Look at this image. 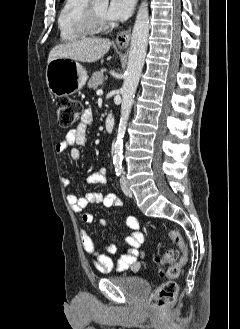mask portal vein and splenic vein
I'll return each mask as SVG.
<instances>
[{
	"label": "portal vein and splenic vein",
	"instance_id": "1",
	"mask_svg": "<svg viewBox=\"0 0 240 329\" xmlns=\"http://www.w3.org/2000/svg\"><path fill=\"white\" fill-rule=\"evenodd\" d=\"M102 93H103L102 90H97V95H100V94H102Z\"/></svg>",
	"mask_w": 240,
	"mask_h": 329
}]
</instances>
